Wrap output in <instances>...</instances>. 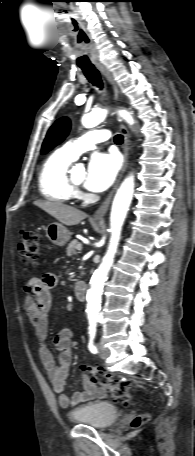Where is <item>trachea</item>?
Returning <instances> with one entry per match:
<instances>
[{"label": "trachea", "instance_id": "trachea-1", "mask_svg": "<svg viewBox=\"0 0 195 456\" xmlns=\"http://www.w3.org/2000/svg\"><path fill=\"white\" fill-rule=\"evenodd\" d=\"M81 69L89 82H91L94 86H97L100 89H102V80L100 78L98 70L94 66L81 67ZM114 141L116 144H122L123 136L120 134L116 135L114 137Z\"/></svg>", "mask_w": 195, "mask_h": 456}]
</instances>
